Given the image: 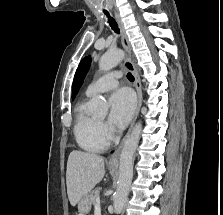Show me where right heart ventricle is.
<instances>
[{
	"label": "right heart ventricle",
	"mask_w": 223,
	"mask_h": 215,
	"mask_svg": "<svg viewBox=\"0 0 223 215\" xmlns=\"http://www.w3.org/2000/svg\"><path fill=\"white\" fill-rule=\"evenodd\" d=\"M73 134L78 146L87 152L99 153L108 147L97 118L87 112L85 102L79 103L75 108Z\"/></svg>",
	"instance_id": "right-heart-ventricle-1"
}]
</instances>
